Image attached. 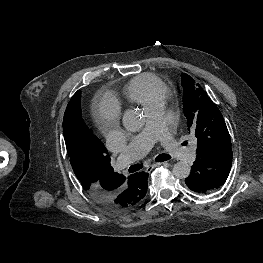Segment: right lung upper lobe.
Instances as JSON below:
<instances>
[{
  "mask_svg": "<svg viewBox=\"0 0 263 263\" xmlns=\"http://www.w3.org/2000/svg\"><path fill=\"white\" fill-rule=\"evenodd\" d=\"M75 94L69 104L74 100ZM63 133L70 163L76 177L84 188L87 187V177L81 173L80 164L84 157L91 160L94 164V182L90 189H88L90 195L96 196L114 193L117 190L114 186L121 182V187L127 190L129 201L119 212L130 211L140 204L146 195V188L132 183V175L125 177L113 171L110 164V156L105 146L89 129L88 133L79 134L63 124Z\"/></svg>",
  "mask_w": 263,
  "mask_h": 263,
  "instance_id": "obj_1",
  "label": "right lung upper lobe"
}]
</instances>
